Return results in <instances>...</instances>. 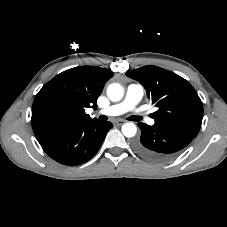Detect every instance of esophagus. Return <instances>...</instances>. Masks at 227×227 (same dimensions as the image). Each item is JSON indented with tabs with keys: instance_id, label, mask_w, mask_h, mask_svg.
Wrapping results in <instances>:
<instances>
[{
	"instance_id": "obj_1",
	"label": "esophagus",
	"mask_w": 227,
	"mask_h": 227,
	"mask_svg": "<svg viewBox=\"0 0 227 227\" xmlns=\"http://www.w3.org/2000/svg\"><path fill=\"white\" fill-rule=\"evenodd\" d=\"M123 122H124L123 120H116V121H115V124L121 125Z\"/></svg>"
}]
</instances>
